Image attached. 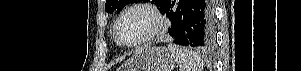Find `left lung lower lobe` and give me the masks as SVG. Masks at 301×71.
I'll list each match as a JSON object with an SVG mask.
<instances>
[{"instance_id":"0a47b994","label":"left lung lower lobe","mask_w":301,"mask_h":71,"mask_svg":"<svg viewBox=\"0 0 301 71\" xmlns=\"http://www.w3.org/2000/svg\"><path fill=\"white\" fill-rule=\"evenodd\" d=\"M162 12L171 20L168 30L175 44L207 48L215 39L211 0H168Z\"/></svg>"}]
</instances>
